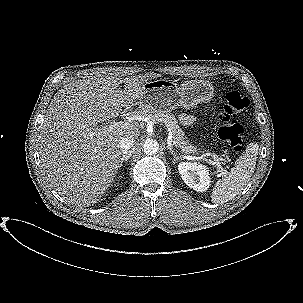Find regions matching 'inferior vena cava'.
<instances>
[{
    "label": "inferior vena cava",
    "mask_w": 303,
    "mask_h": 303,
    "mask_svg": "<svg viewBox=\"0 0 303 303\" xmlns=\"http://www.w3.org/2000/svg\"><path fill=\"white\" fill-rule=\"evenodd\" d=\"M134 146H135V140L129 137H123L119 141V148L123 156L131 154L134 150Z\"/></svg>",
    "instance_id": "602c4592"
}]
</instances>
